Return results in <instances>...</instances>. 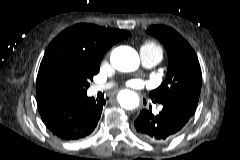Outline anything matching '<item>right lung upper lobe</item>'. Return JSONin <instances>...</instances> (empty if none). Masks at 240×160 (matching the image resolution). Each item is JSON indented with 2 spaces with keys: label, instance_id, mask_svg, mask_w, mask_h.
I'll return each mask as SVG.
<instances>
[{
  "label": "right lung upper lobe",
  "instance_id": "cb5924a9",
  "mask_svg": "<svg viewBox=\"0 0 240 160\" xmlns=\"http://www.w3.org/2000/svg\"><path fill=\"white\" fill-rule=\"evenodd\" d=\"M129 32L103 28L92 24H76L62 31L49 45L40 64L37 76V100L42 102L52 95L47 77L58 65L79 61L95 63L101 61L104 52L113 44L123 40Z\"/></svg>",
  "mask_w": 240,
  "mask_h": 160
}]
</instances>
